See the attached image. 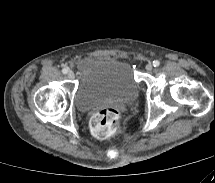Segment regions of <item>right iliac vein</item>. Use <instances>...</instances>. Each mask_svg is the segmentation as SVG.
Segmentation results:
<instances>
[{"label": "right iliac vein", "mask_w": 215, "mask_h": 183, "mask_svg": "<svg viewBox=\"0 0 215 183\" xmlns=\"http://www.w3.org/2000/svg\"><path fill=\"white\" fill-rule=\"evenodd\" d=\"M74 77H75V74H74L73 72L70 71V72L68 73V78H69V79H74Z\"/></svg>", "instance_id": "1"}]
</instances>
